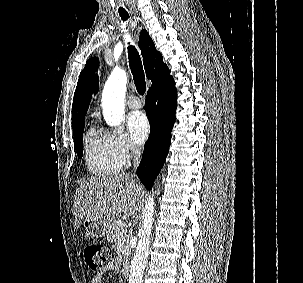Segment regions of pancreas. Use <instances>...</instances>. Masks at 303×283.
I'll return each mask as SVG.
<instances>
[{
    "instance_id": "1",
    "label": "pancreas",
    "mask_w": 303,
    "mask_h": 283,
    "mask_svg": "<svg viewBox=\"0 0 303 283\" xmlns=\"http://www.w3.org/2000/svg\"><path fill=\"white\" fill-rule=\"evenodd\" d=\"M128 238L127 230L124 225L121 223L113 222L112 229L107 235V239L109 242H114L115 244L121 243L124 249V260H127L130 255V248L128 246Z\"/></svg>"
}]
</instances>
